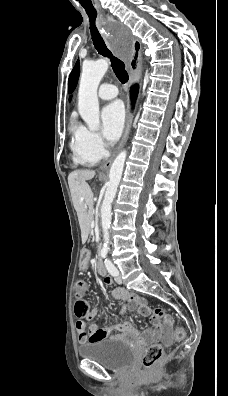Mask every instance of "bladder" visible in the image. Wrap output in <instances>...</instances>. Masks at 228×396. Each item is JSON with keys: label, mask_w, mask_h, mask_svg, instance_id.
I'll list each match as a JSON object with an SVG mask.
<instances>
[{"label": "bladder", "mask_w": 228, "mask_h": 396, "mask_svg": "<svg viewBox=\"0 0 228 396\" xmlns=\"http://www.w3.org/2000/svg\"><path fill=\"white\" fill-rule=\"evenodd\" d=\"M79 356L92 360L110 370H124L134 360L131 346L121 339H106L82 345L78 349Z\"/></svg>", "instance_id": "1"}]
</instances>
